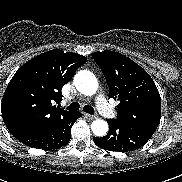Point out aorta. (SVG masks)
<instances>
[{
  "mask_svg": "<svg viewBox=\"0 0 182 182\" xmlns=\"http://www.w3.org/2000/svg\"><path fill=\"white\" fill-rule=\"evenodd\" d=\"M76 89L83 95L92 96L98 89V81L95 75L88 71H79L74 77ZM91 130L94 135L102 137L108 132V123L105 120L97 119L92 122Z\"/></svg>",
  "mask_w": 182,
  "mask_h": 182,
  "instance_id": "1",
  "label": "aorta"
}]
</instances>
